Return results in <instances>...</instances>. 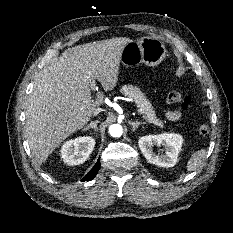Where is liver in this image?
<instances>
[{
  "mask_svg": "<svg viewBox=\"0 0 233 233\" xmlns=\"http://www.w3.org/2000/svg\"><path fill=\"white\" fill-rule=\"evenodd\" d=\"M116 37L68 48L34 82L28 98L25 133L32 155L41 164L104 103V93L91 96L90 79L105 91L118 81L121 55L131 42Z\"/></svg>",
  "mask_w": 233,
  "mask_h": 233,
  "instance_id": "1",
  "label": "liver"
}]
</instances>
